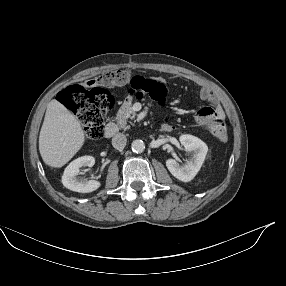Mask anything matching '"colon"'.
Instances as JSON below:
<instances>
[{
  "label": "colon",
  "instance_id": "obj_1",
  "mask_svg": "<svg viewBox=\"0 0 286 286\" xmlns=\"http://www.w3.org/2000/svg\"><path fill=\"white\" fill-rule=\"evenodd\" d=\"M113 77L114 72H107L101 79L109 80ZM130 93L147 94L151 98L162 99L164 86L158 82L133 78ZM59 101L77 116L89 139H97L102 135L105 114L114 106L113 96L105 89L86 90L77 85L65 88L59 95ZM205 132L213 140L225 142L227 139L225 123L218 118L210 119L206 123Z\"/></svg>",
  "mask_w": 286,
  "mask_h": 286
}]
</instances>
